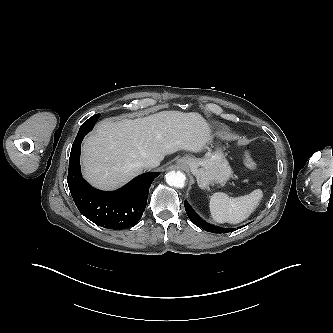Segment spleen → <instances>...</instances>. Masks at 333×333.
Returning a JSON list of instances; mask_svg holds the SVG:
<instances>
[{"mask_svg": "<svg viewBox=\"0 0 333 333\" xmlns=\"http://www.w3.org/2000/svg\"><path fill=\"white\" fill-rule=\"evenodd\" d=\"M262 197L263 192L260 189L236 198H229L225 193L216 192L210 198L211 216L218 223H240L251 215Z\"/></svg>", "mask_w": 333, "mask_h": 333, "instance_id": "3e777b00", "label": "spleen"}]
</instances>
